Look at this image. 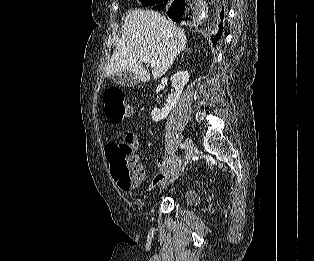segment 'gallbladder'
Instances as JSON below:
<instances>
[{
  "label": "gallbladder",
  "mask_w": 314,
  "mask_h": 261,
  "mask_svg": "<svg viewBox=\"0 0 314 261\" xmlns=\"http://www.w3.org/2000/svg\"><path fill=\"white\" fill-rule=\"evenodd\" d=\"M112 80L123 87H134L140 82L139 78L130 71L116 73L112 76Z\"/></svg>",
  "instance_id": "1"
}]
</instances>
